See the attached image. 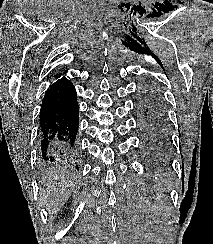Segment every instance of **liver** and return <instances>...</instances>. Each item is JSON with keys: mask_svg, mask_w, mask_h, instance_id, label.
<instances>
[{"mask_svg": "<svg viewBox=\"0 0 213 244\" xmlns=\"http://www.w3.org/2000/svg\"><path fill=\"white\" fill-rule=\"evenodd\" d=\"M74 179L65 173L52 172L41 181L40 199L49 214H56L70 197Z\"/></svg>", "mask_w": 213, "mask_h": 244, "instance_id": "6515ba94", "label": "liver"}]
</instances>
